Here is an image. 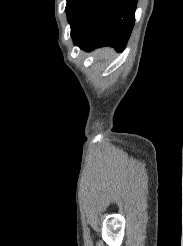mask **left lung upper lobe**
Here are the masks:
<instances>
[{"mask_svg":"<svg viewBox=\"0 0 183 246\" xmlns=\"http://www.w3.org/2000/svg\"><path fill=\"white\" fill-rule=\"evenodd\" d=\"M71 1H72V0H67L66 11H67V9H68V7H69Z\"/></svg>","mask_w":183,"mask_h":246,"instance_id":"5c2ea615","label":"left lung upper lobe"}]
</instances>
